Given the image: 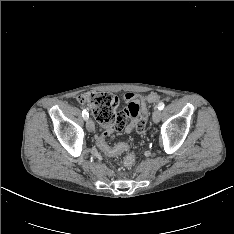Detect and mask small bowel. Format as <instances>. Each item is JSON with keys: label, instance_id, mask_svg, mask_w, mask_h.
Segmentation results:
<instances>
[{"label": "small bowel", "instance_id": "c3829d8e", "mask_svg": "<svg viewBox=\"0 0 234 234\" xmlns=\"http://www.w3.org/2000/svg\"><path fill=\"white\" fill-rule=\"evenodd\" d=\"M124 99L127 105L121 113L126 119H130V122L125 126V131L127 133H132L135 130L137 135H144L146 124L149 120L144 99L136 93H127ZM103 126H105V124H103Z\"/></svg>", "mask_w": 234, "mask_h": 234}]
</instances>
